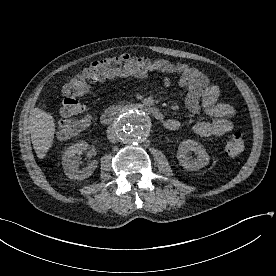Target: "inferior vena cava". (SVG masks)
<instances>
[{"instance_id": "602c4592", "label": "inferior vena cava", "mask_w": 276, "mask_h": 276, "mask_svg": "<svg viewBox=\"0 0 276 276\" xmlns=\"http://www.w3.org/2000/svg\"><path fill=\"white\" fill-rule=\"evenodd\" d=\"M107 138L111 141V142H115L118 139V133H117V129L115 126H110L107 129Z\"/></svg>"}]
</instances>
